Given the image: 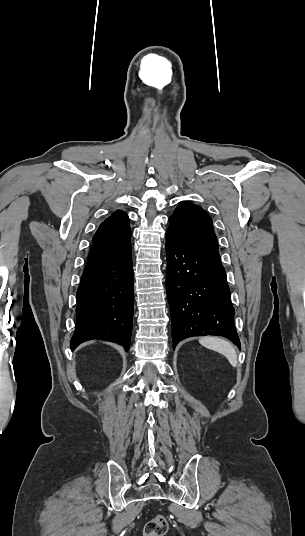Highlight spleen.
<instances>
[{
    "mask_svg": "<svg viewBox=\"0 0 305 536\" xmlns=\"http://www.w3.org/2000/svg\"><path fill=\"white\" fill-rule=\"evenodd\" d=\"M199 344H201V346H205V348H208V350H215V352L223 354V356L227 358L228 362H230L231 366L236 368V352L232 344H229V342H226V340H221V338H213V336H205V338H200Z\"/></svg>",
    "mask_w": 305,
    "mask_h": 536,
    "instance_id": "obj_1",
    "label": "spleen"
}]
</instances>
